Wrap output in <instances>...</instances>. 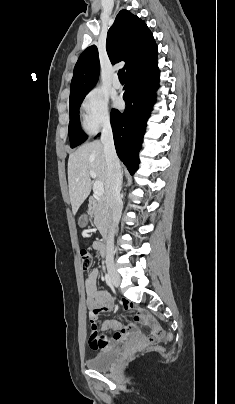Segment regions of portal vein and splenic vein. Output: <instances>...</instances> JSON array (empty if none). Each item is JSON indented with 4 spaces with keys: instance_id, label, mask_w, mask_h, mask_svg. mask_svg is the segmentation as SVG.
<instances>
[{
    "instance_id": "1",
    "label": "portal vein and splenic vein",
    "mask_w": 235,
    "mask_h": 404,
    "mask_svg": "<svg viewBox=\"0 0 235 404\" xmlns=\"http://www.w3.org/2000/svg\"><path fill=\"white\" fill-rule=\"evenodd\" d=\"M89 174L93 179H96L97 175H96V173L94 171H92V170L89 171ZM93 192L98 197L102 196L103 193H104L103 183L100 182V181H95V183L93 185Z\"/></svg>"
}]
</instances>
